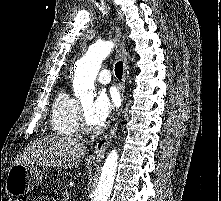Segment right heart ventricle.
Listing matches in <instances>:
<instances>
[{
  "label": "right heart ventricle",
  "instance_id": "e07e8e85",
  "mask_svg": "<svg viewBox=\"0 0 221 201\" xmlns=\"http://www.w3.org/2000/svg\"><path fill=\"white\" fill-rule=\"evenodd\" d=\"M78 100L66 90H61L52 105L50 114L51 127L58 135L74 137L79 131Z\"/></svg>",
  "mask_w": 221,
  "mask_h": 201
}]
</instances>
